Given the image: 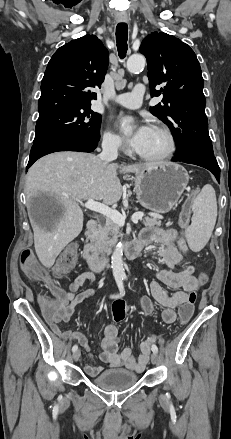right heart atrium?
Wrapping results in <instances>:
<instances>
[{
    "mask_svg": "<svg viewBox=\"0 0 231 439\" xmlns=\"http://www.w3.org/2000/svg\"><path fill=\"white\" fill-rule=\"evenodd\" d=\"M102 143L103 146L109 150L117 151L123 149V143L121 138L110 129H107L103 133Z\"/></svg>",
    "mask_w": 231,
    "mask_h": 439,
    "instance_id": "right-heart-atrium-1",
    "label": "right heart atrium"
}]
</instances>
